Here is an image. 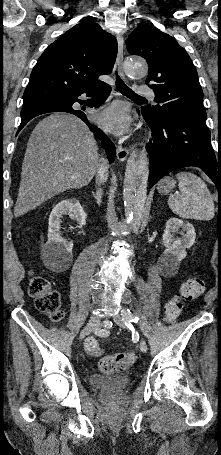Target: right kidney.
I'll list each match as a JSON object with an SVG mask.
<instances>
[{
    "instance_id": "1",
    "label": "right kidney",
    "mask_w": 221,
    "mask_h": 455,
    "mask_svg": "<svg viewBox=\"0 0 221 455\" xmlns=\"http://www.w3.org/2000/svg\"><path fill=\"white\" fill-rule=\"evenodd\" d=\"M64 215L76 220L79 226L86 224L87 215L78 201L62 200L55 205L49 216L48 240L41 252L45 265L54 269L65 268L72 261L73 243L63 238L60 230Z\"/></svg>"
}]
</instances>
